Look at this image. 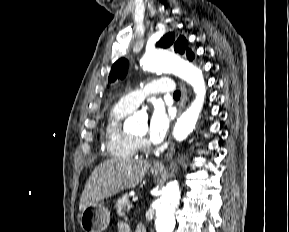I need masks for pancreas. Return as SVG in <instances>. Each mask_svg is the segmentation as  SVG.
<instances>
[{"instance_id": "1", "label": "pancreas", "mask_w": 289, "mask_h": 232, "mask_svg": "<svg viewBox=\"0 0 289 232\" xmlns=\"http://www.w3.org/2000/svg\"><path fill=\"white\" fill-rule=\"evenodd\" d=\"M133 208V204L129 201V195L125 194L116 203V210L118 216H124L126 212Z\"/></svg>"}]
</instances>
